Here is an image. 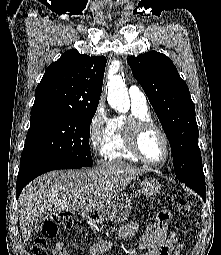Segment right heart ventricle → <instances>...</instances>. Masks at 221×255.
<instances>
[{
    "label": "right heart ventricle",
    "instance_id": "e07e8e85",
    "mask_svg": "<svg viewBox=\"0 0 221 255\" xmlns=\"http://www.w3.org/2000/svg\"><path fill=\"white\" fill-rule=\"evenodd\" d=\"M131 120H151L148 106L132 103L131 111L127 116L111 119L110 128L102 147V154L107 159L131 162L139 161L129 150L125 138V126Z\"/></svg>",
    "mask_w": 221,
    "mask_h": 255
}]
</instances>
